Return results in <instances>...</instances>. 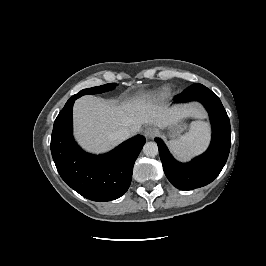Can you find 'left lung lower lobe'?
<instances>
[{"label":"left lung lower lobe","instance_id":"1","mask_svg":"<svg viewBox=\"0 0 266 266\" xmlns=\"http://www.w3.org/2000/svg\"><path fill=\"white\" fill-rule=\"evenodd\" d=\"M192 100L201 102L210 116L212 141L208 150L188 163H180L172 157L161 139H155L168 180L181 190H192L211 183L223 169L231 145L230 121L219 97L204 85L195 84L178 94L174 103Z\"/></svg>","mask_w":266,"mask_h":266}]
</instances>
